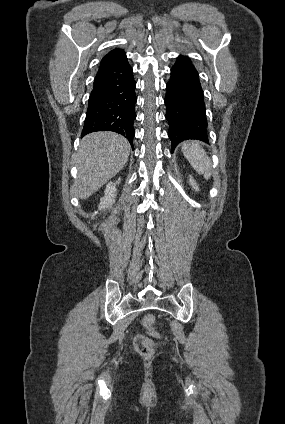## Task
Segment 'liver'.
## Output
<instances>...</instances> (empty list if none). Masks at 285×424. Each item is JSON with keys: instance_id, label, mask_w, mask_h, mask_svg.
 <instances>
[{"instance_id": "obj_1", "label": "liver", "mask_w": 285, "mask_h": 424, "mask_svg": "<svg viewBox=\"0 0 285 424\" xmlns=\"http://www.w3.org/2000/svg\"><path fill=\"white\" fill-rule=\"evenodd\" d=\"M128 140L114 132H94L80 143L77 166L76 195L87 199L114 177L130 154Z\"/></svg>"}]
</instances>
